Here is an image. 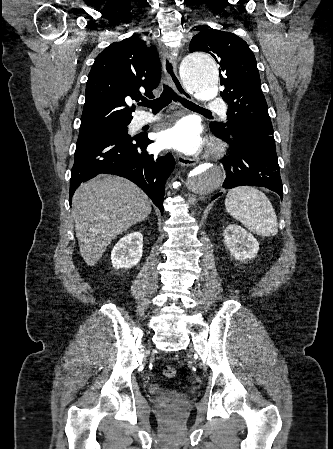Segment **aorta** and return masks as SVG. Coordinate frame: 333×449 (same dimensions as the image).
Here are the masks:
<instances>
[{"mask_svg": "<svg viewBox=\"0 0 333 449\" xmlns=\"http://www.w3.org/2000/svg\"><path fill=\"white\" fill-rule=\"evenodd\" d=\"M180 76L185 88L193 94L213 98L217 93L219 73L214 59L205 52L187 55L180 65ZM224 180L219 164H203L186 176L185 193L189 200L216 192Z\"/></svg>", "mask_w": 333, "mask_h": 449, "instance_id": "aorta-1", "label": "aorta"}]
</instances>
